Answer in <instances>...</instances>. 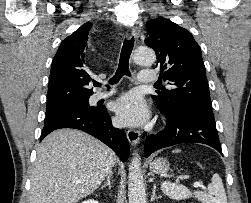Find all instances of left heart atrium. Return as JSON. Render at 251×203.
Wrapping results in <instances>:
<instances>
[{
	"label": "left heart atrium",
	"mask_w": 251,
	"mask_h": 203,
	"mask_svg": "<svg viewBox=\"0 0 251 203\" xmlns=\"http://www.w3.org/2000/svg\"><path fill=\"white\" fill-rule=\"evenodd\" d=\"M116 120L123 126H137L148 118V111L142 97L137 93H128L115 104Z\"/></svg>",
	"instance_id": "39dd6f15"
}]
</instances>
